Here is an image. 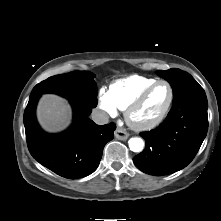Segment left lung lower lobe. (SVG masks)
Listing matches in <instances>:
<instances>
[{
  "label": "left lung lower lobe",
  "instance_id": "obj_1",
  "mask_svg": "<svg viewBox=\"0 0 221 221\" xmlns=\"http://www.w3.org/2000/svg\"><path fill=\"white\" fill-rule=\"evenodd\" d=\"M207 98L201 89L173 100L165 121L140 135L145 149L133 158L142 172L167 175L186 167L197 154L208 130Z\"/></svg>",
  "mask_w": 221,
  "mask_h": 221
}]
</instances>
